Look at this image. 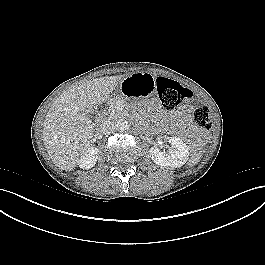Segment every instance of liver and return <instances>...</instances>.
Listing matches in <instances>:
<instances>
[{
  "instance_id": "obj_1",
  "label": "liver",
  "mask_w": 265,
  "mask_h": 265,
  "mask_svg": "<svg viewBox=\"0 0 265 265\" xmlns=\"http://www.w3.org/2000/svg\"><path fill=\"white\" fill-rule=\"evenodd\" d=\"M123 79L106 76L76 83L51 105L43 128V142L53 163L72 170L91 146L93 125L88 114L110 98Z\"/></svg>"
}]
</instances>
